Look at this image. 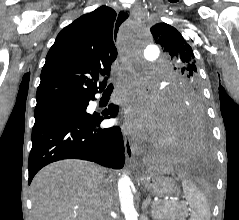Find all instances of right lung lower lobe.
Returning <instances> with one entry per match:
<instances>
[{
  "label": "right lung lower lobe",
  "mask_w": 239,
  "mask_h": 220,
  "mask_svg": "<svg viewBox=\"0 0 239 220\" xmlns=\"http://www.w3.org/2000/svg\"><path fill=\"white\" fill-rule=\"evenodd\" d=\"M94 99L93 96L77 102L80 110H86L89 101ZM117 113L118 106L110 104L102 116H36L28 162L29 184L42 167L62 159H83L105 167L122 168L125 156L120 128L98 127L104 118H113Z\"/></svg>",
  "instance_id": "right-lung-lower-lobe-1"
}]
</instances>
